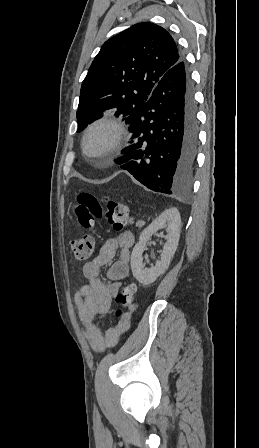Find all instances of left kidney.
I'll return each instance as SVG.
<instances>
[{"instance_id": "1", "label": "left kidney", "mask_w": 259, "mask_h": 448, "mask_svg": "<svg viewBox=\"0 0 259 448\" xmlns=\"http://www.w3.org/2000/svg\"><path fill=\"white\" fill-rule=\"evenodd\" d=\"M161 228H166L167 232V236H165L167 242L164 244L161 260H158L156 266H153V268H145V264L142 262V254L146 242L150 240L152 234H155V232L161 230ZM180 228L181 218L177 208H169V210H165L159 218H156V220H154V222L140 234V240L138 244L134 246L131 254V270L134 278H136L142 286L153 284L158 276L165 274L167 268H169L170 260L173 258L178 246Z\"/></svg>"}]
</instances>
